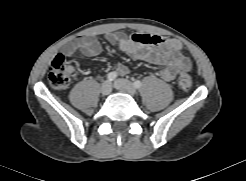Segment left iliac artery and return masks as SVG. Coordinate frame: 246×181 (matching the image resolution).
Returning <instances> with one entry per match:
<instances>
[{"instance_id": "44dca946", "label": "left iliac artery", "mask_w": 246, "mask_h": 181, "mask_svg": "<svg viewBox=\"0 0 246 181\" xmlns=\"http://www.w3.org/2000/svg\"><path fill=\"white\" fill-rule=\"evenodd\" d=\"M133 85H134L135 88L139 89V88H141L142 83H141V81L136 80V81L133 83Z\"/></svg>"}]
</instances>
